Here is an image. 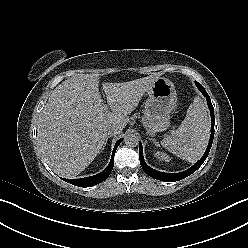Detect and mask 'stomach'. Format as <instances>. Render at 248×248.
<instances>
[{
  "label": "stomach",
  "mask_w": 248,
  "mask_h": 248,
  "mask_svg": "<svg viewBox=\"0 0 248 248\" xmlns=\"http://www.w3.org/2000/svg\"><path fill=\"white\" fill-rule=\"evenodd\" d=\"M143 126L148 134L163 131L169 124V114L175 108L177 96L174 84L164 77H158L146 90Z\"/></svg>",
  "instance_id": "obj_1"
}]
</instances>
